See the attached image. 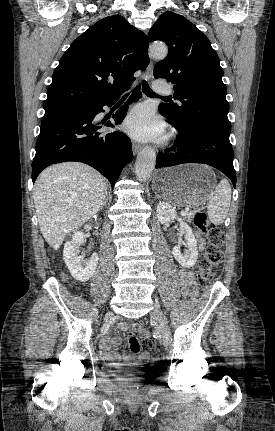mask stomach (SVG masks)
<instances>
[{"instance_id": "stomach-1", "label": "stomach", "mask_w": 275, "mask_h": 431, "mask_svg": "<svg viewBox=\"0 0 275 431\" xmlns=\"http://www.w3.org/2000/svg\"><path fill=\"white\" fill-rule=\"evenodd\" d=\"M215 185L214 171L201 164H185L158 170L152 184L163 199L179 207L191 208L204 204Z\"/></svg>"}]
</instances>
